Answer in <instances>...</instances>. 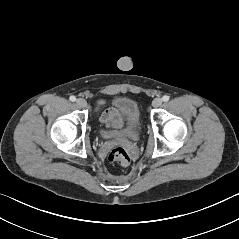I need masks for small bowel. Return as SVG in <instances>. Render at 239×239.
Segmentation results:
<instances>
[{
  "label": "small bowel",
  "mask_w": 239,
  "mask_h": 239,
  "mask_svg": "<svg viewBox=\"0 0 239 239\" xmlns=\"http://www.w3.org/2000/svg\"><path fill=\"white\" fill-rule=\"evenodd\" d=\"M101 121L113 128H118L122 125L121 115L115 108H107L102 111Z\"/></svg>",
  "instance_id": "1"
}]
</instances>
